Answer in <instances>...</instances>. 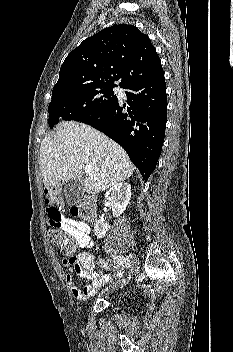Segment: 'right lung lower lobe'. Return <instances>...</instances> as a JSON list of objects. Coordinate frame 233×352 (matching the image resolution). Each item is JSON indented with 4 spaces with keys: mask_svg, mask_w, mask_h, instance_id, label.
Here are the masks:
<instances>
[{
    "mask_svg": "<svg viewBox=\"0 0 233 352\" xmlns=\"http://www.w3.org/2000/svg\"><path fill=\"white\" fill-rule=\"evenodd\" d=\"M127 89L125 105L117 100L105 109L77 121L91 125L119 143L146 182L154 171L165 136L167 95L164 72Z\"/></svg>",
    "mask_w": 233,
    "mask_h": 352,
    "instance_id": "98d812e1",
    "label": "right lung lower lobe"
}]
</instances>
